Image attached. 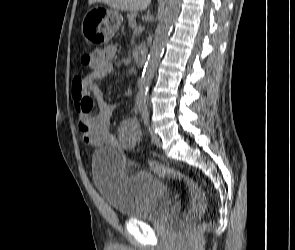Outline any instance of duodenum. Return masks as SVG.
I'll return each instance as SVG.
<instances>
[{"mask_svg": "<svg viewBox=\"0 0 295 250\" xmlns=\"http://www.w3.org/2000/svg\"><path fill=\"white\" fill-rule=\"evenodd\" d=\"M134 57L138 66H142L147 57V51L143 47H136L134 49Z\"/></svg>", "mask_w": 295, "mask_h": 250, "instance_id": "1", "label": "duodenum"}]
</instances>
